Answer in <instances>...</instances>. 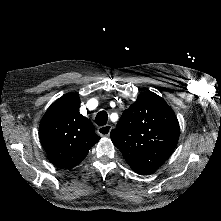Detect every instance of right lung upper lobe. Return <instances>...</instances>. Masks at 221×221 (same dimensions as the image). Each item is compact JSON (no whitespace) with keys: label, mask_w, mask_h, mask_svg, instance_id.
Here are the masks:
<instances>
[{"label":"right lung upper lobe","mask_w":221,"mask_h":221,"mask_svg":"<svg viewBox=\"0 0 221 221\" xmlns=\"http://www.w3.org/2000/svg\"><path fill=\"white\" fill-rule=\"evenodd\" d=\"M79 107L78 95L62 96L48 108L39 126L48 159L61 169L81 163L100 140L92 122L79 113Z\"/></svg>","instance_id":"right-lung-upper-lobe-1"}]
</instances>
